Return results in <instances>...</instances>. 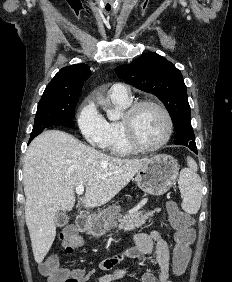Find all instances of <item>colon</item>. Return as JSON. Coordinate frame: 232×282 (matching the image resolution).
Here are the masks:
<instances>
[{"label": "colon", "mask_w": 232, "mask_h": 282, "mask_svg": "<svg viewBox=\"0 0 232 282\" xmlns=\"http://www.w3.org/2000/svg\"><path fill=\"white\" fill-rule=\"evenodd\" d=\"M168 210L169 221L175 231L173 271L177 275H182L190 258V247L195 240L193 219L181 211L173 201L168 203ZM61 243L65 252L71 254L81 247L82 240L74 231L66 229L62 232ZM39 269L53 282H76L74 277L65 274L66 269L59 267L58 259L55 257H48L40 264Z\"/></svg>", "instance_id": "colon-1"}]
</instances>
